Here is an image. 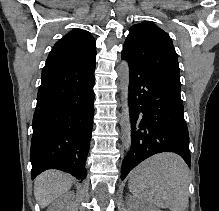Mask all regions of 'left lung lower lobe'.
<instances>
[{"mask_svg":"<svg viewBox=\"0 0 219 211\" xmlns=\"http://www.w3.org/2000/svg\"><path fill=\"white\" fill-rule=\"evenodd\" d=\"M122 58L129 63L131 148L122 163L121 180L140 162L161 152H175L191 166L180 87L123 54Z\"/></svg>","mask_w":219,"mask_h":211,"instance_id":"left-lung-lower-lobe-1","label":"left lung lower lobe"}]
</instances>
